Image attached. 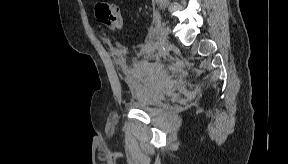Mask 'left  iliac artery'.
I'll return each mask as SVG.
<instances>
[{"mask_svg":"<svg viewBox=\"0 0 288 164\" xmlns=\"http://www.w3.org/2000/svg\"><path fill=\"white\" fill-rule=\"evenodd\" d=\"M154 19L156 21V24H155V28L153 29L152 31V35H153V40L156 39V33L158 32V29L160 28L161 26V16L159 14L158 11H155L154 12Z\"/></svg>","mask_w":288,"mask_h":164,"instance_id":"1","label":"left iliac artery"}]
</instances>
